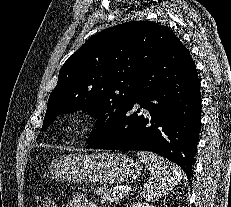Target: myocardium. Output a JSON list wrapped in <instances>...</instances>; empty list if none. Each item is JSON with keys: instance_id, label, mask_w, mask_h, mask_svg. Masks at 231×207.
Masks as SVG:
<instances>
[{"instance_id": "obj_1", "label": "myocardium", "mask_w": 231, "mask_h": 207, "mask_svg": "<svg viewBox=\"0 0 231 207\" xmlns=\"http://www.w3.org/2000/svg\"><path fill=\"white\" fill-rule=\"evenodd\" d=\"M90 127V117L82 112L74 113L66 124V129L71 135H82Z\"/></svg>"}]
</instances>
